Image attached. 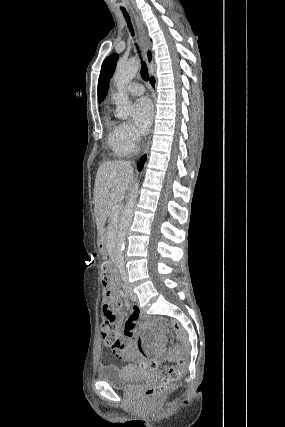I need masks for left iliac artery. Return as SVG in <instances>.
<instances>
[{
	"mask_svg": "<svg viewBox=\"0 0 285 427\" xmlns=\"http://www.w3.org/2000/svg\"><path fill=\"white\" fill-rule=\"evenodd\" d=\"M123 281H126V277L124 276L123 271H121Z\"/></svg>",
	"mask_w": 285,
	"mask_h": 427,
	"instance_id": "44dca946",
	"label": "left iliac artery"
}]
</instances>
